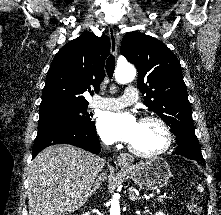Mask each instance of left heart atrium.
Returning a JSON list of instances; mask_svg holds the SVG:
<instances>
[{"label": "left heart atrium", "instance_id": "left-heart-atrium-1", "mask_svg": "<svg viewBox=\"0 0 221 215\" xmlns=\"http://www.w3.org/2000/svg\"><path fill=\"white\" fill-rule=\"evenodd\" d=\"M102 138L107 142H131L137 132L138 121L126 112H103L97 122Z\"/></svg>", "mask_w": 221, "mask_h": 215}]
</instances>
